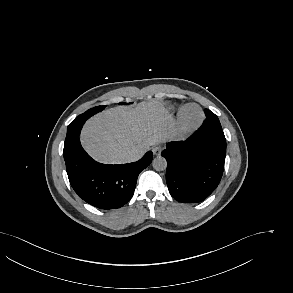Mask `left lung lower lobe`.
Returning a JSON list of instances; mask_svg holds the SVG:
<instances>
[{"mask_svg":"<svg viewBox=\"0 0 293 293\" xmlns=\"http://www.w3.org/2000/svg\"><path fill=\"white\" fill-rule=\"evenodd\" d=\"M161 155L167 160L166 182L172 197L182 203H197L221 180L226 139L222 131L203 123L187 140L169 142Z\"/></svg>","mask_w":293,"mask_h":293,"instance_id":"left-lung-lower-lobe-1","label":"left lung lower lobe"}]
</instances>
